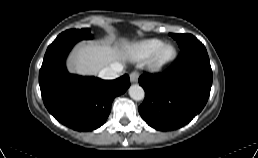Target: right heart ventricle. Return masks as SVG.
I'll return each instance as SVG.
<instances>
[{"instance_id": "obj_1", "label": "right heart ventricle", "mask_w": 258, "mask_h": 158, "mask_svg": "<svg viewBox=\"0 0 258 158\" xmlns=\"http://www.w3.org/2000/svg\"><path fill=\"white\" fill-rule=\"evenodd\" d=\"M163 44L160 39H148L139 44L134 48L135 57L137 60H146L157 50L159 46Z\"/></svg>"}]
</instances>
